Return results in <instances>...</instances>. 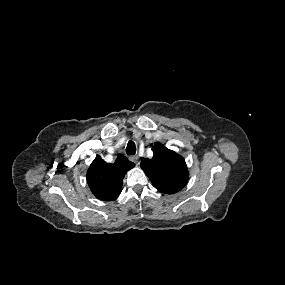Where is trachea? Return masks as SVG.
<instances>
[{
  "instance_id": "1",
  "label": "trachea",
  "mask_w": 285,
  "mask_h": 285,
  "mask_svg": "<svg viewBox=\"0 0 285 285\" xmlns=\"http://www.w3.org/2000/svg\"><path fill=\"white\" fill-rule=\"evenodd\" d=\"M127 155H134L136 153V146L133 141H129L126 147Z\"/></svg>"
}]
</instances>
